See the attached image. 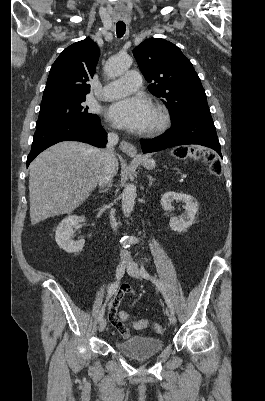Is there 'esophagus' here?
Instances as JSON below:
<instances>
[{
  "label": "esophagus",
  "mask_w": 265,
  "mask_h": 401,
  "mask_svg": "<svg viewBox=\"0 0 265 401\" xmlns=\"http://www.w3.org/2000/svg\"><path fill=\"white\" fill-rule=\"evenodd\" d=\"M120 149L126 153V155L131 157H136L137 149L134 145H131L128 141L122 140L119 145Z\"/></svg>",
  "instance_id": "1"
}]
</instances>
